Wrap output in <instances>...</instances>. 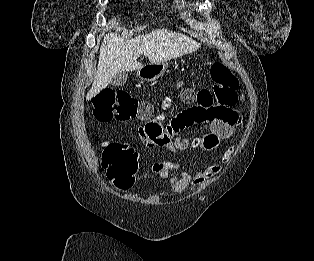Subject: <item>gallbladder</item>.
Masks as SVG:
<instances>
[{
    "mask_svg": "<svg viewBox=\"0 0 314 261\" xmlns=\"http://www.w3.org/2000/svg\"><path fill=\"white\" fill-rule=\"evenodd\" d=\"M127 78L128 74L126 72H120L113 77L111 85L114 87L122 86L126 83Z\"/></svg>",
    "mask_w": 314,
    "mask_h": 261,
    "instance_id": "gallbladder-1",
    "label": "gallbladder"
}]
</instances>
